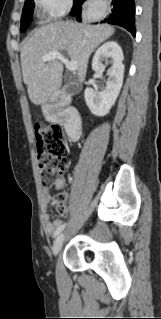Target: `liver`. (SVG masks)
Segmentation results:
<instances>
[{
	"mask_svg": "<svg viewBox=\"0 0 161 319\" xmlns=\"http://www.w3.org/2000/svg\"><path fill=\"white\" fill-rule=\"evenodd\" d=\"M115 29L110 25H84L70 21H57L35 30L21 49V65L24 83L32 103H46L62 84L63 65L58 60L42 61L50 51H65L77 62L79 82L85 80L91 53Z\"/></svg>",
	"mask_w": 161,
	"mask_h": 319,
	"instance_id": "6515ba94",
	"label": "liver"
}]
</instances>
